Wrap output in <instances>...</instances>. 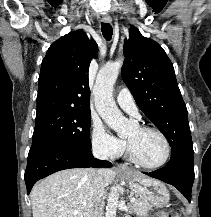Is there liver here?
<instances>
[{"label":"liver","mask_w":211,"mask_h":217,"mask_svg":"<svg viewBox=\"0 0 211 217\" xmlns=\"http://www.w3.org/2000/svg\"><path fill=\"white\" fill-rule=\"evenodd\" d=\"M95 175L93 169L73 168L45 178L30 193L33 217H91ZM102 176L108 186L116 173L103 169Z\"/></svg>","instance_id":"liver-1"}]
</instances>
